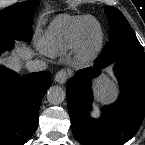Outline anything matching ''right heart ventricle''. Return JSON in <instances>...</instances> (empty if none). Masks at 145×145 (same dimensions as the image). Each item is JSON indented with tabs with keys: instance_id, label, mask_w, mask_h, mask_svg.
<instances>
[{
	"instance_id": "e07e8e85",
	"label": "right heart ventricle",
	"mask_w": 145,
	"mask_h": 145,
	"mask_svg": "<svg viewBox=\"0 0 145 145\" xmlns=\"http://www.w3.org/2000/svg\"><path fill=\"white\" fill-rule=\"evenodd\" d=\"M97 24L90 15H58L38 38V47L51 57L64 55L77 48L84 33Z\"/></svg>"
}]
</instances>
